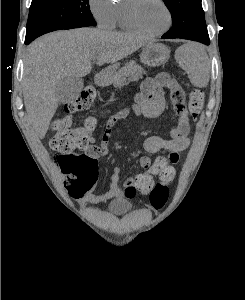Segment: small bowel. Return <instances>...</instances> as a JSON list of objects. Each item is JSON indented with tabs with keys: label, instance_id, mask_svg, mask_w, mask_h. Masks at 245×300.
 <instances>
[{
	"label": "small bowel",
	"instance_id": "small-bowel-1",
	"mask_svg": "<svg viewBox=\"0 0 245 300\" xmlns=\"http://www.w3.org/2000/svg\"><path fill=\"white\" fill-rule=\"evenodd\" d=\"M167 94L177 116V124L170 131L169 138L149 136L143 142V149L147 154H156L160 151H167V154L155 160H151L148 156H143L140 160L141 166L147 169V174L160 177L159 181L153 183V190H164L174 182L176 165L173 164L178 161L179 153L186 150L190 145V118L186 108L185 94L174 78L168 73L162 72L155 78H148L142 83L132 108L137 114L148 118H156L165 110ZM128 113L129 109H123L112 114L107 119L100 144L97 145L94 138H90L85 152L96 159L107 156L109 154L108 142L113 128ZM119 172V167H116L108 191L101 194L87 193L82 198L83 202L100 203L111 198H134L137 190L135 179L138 175L128 177L121 187Z\"/></svg>",
	"mask_w": 245,
	"mask_h": 300
}]
</instances>
